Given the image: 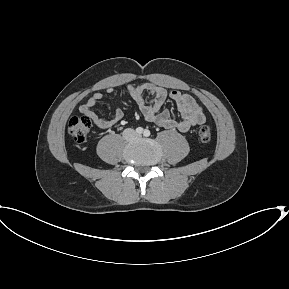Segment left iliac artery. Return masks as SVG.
I'll return each mask as SVG.
<instances>
[{
  "label": "left iliac artery",
  "mask_w": 289,
  "mask_h": 289,
  "mask_svg": "<svg viewBox=\"0 0 289 289\" xmlns=\"http://www.w3.org/2000/svg\"><path fill=\"white\" fill-rule=\"evenodd\" d=\"M143 134H144L145 137H149L151 133H150V131L148 129H145Z\"/></svg>",
  "instance_id": "left-iliac-artery-1"
}]
</instances>
